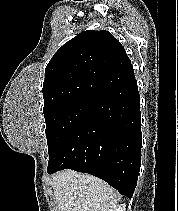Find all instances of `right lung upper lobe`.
Segmentation results:
<instances>
[{
  "label": "right lung upper lobe",
  "instance_id": "obj_1",
  "mask_svg": "<svg viewBox=\"0 0 178 211\" xmlns=\"http://www.w3.org/2000/svg\"><path fill=\"white\" fill-rule=\"evenodd\" d=\"M134 78L117 39L106 30L84 31L65 43L46 66L44 109L77 98L98 100Z\"/></svg>",
  "mask_w": 178,
  "mask_h": 211
}]
</instances>
